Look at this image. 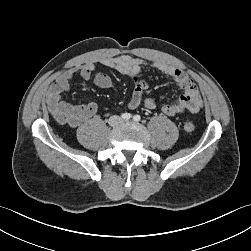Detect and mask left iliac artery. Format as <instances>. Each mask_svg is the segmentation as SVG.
I'll return each instance as SVG.
<instances>
[{"label": "left iliac artery", "instance_id": "1", "mask_svg": "<svg viewBox=\"0 0 251 251\" xmlns=\"http://www.w3.org/2000/svg\"><path fill=\"white\" fill-rule=\"evenodd\" d=\"M140 116L139 115H135L134 117H133V120L135 121V122H138V121H140Z\"/></svg>", "mask_w": 251, "mask_h": 251}]
</instances>
